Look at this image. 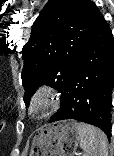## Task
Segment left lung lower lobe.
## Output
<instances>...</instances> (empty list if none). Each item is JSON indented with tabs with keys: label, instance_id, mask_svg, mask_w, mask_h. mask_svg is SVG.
Segmentation results:
<instances>
[{
	"label": "left lung lower lobe",
	"instance_id": "left-lung-lower-lobe-1",
	"mask_svg": "<svg viewBox=\"0 0 114 156\" xmlns=\"http://www.w3.org/2000/svg\"><path fill=\"white\" fill-rule=\"evenodd\" d=\"M114 86V39L99 12L77 59L55 122L76 119L102 129L111 136V93Z\"/></svg>",
	"mask_w": 114,
	"mask_h": 156
}]
</instances>
